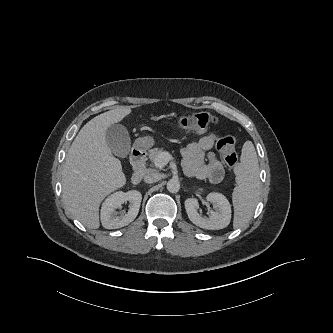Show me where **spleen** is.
I'll return each mask as SVG.
<instances>
[{"instance_id": "obj_1", "label": "spleen", "mask_w": 333, "mask_h": 333, "mask_svg": "<svg viewBox=\"0 0 333 333\" xmlns=\"http://www.w3.org/2000/svg\"><path fill=\"white\" fill-rule=\"evenodd\" d=\"M240 161L234 168L237 183L232 193L234 228H242L250 221L259 200L260 170L251 141L244 143Z\"/></svg>"}]
</instances>
